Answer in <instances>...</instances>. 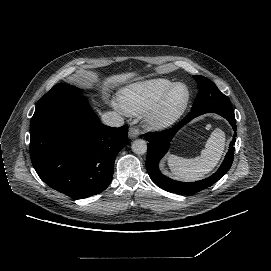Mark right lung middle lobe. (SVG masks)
<instances>
[{
	"label": "right lung middle lobe",
	"instance_id": "right-lung-middle-lobe-1",
	"mask_svg": "<svg viewBox=\"0 0 271 271\" xmlns=\"http://www.w3.org/2000/svg\"><path fill=\"white\" fill-rule=\"evenodd\" d=\"M81 93V90L72 85H66L64 83L57 84L38 101L36 108L57 99L81 96Z\"/></svg>",
	"mask_w": 271,
	"mask_h": 271
}]
</instances>
